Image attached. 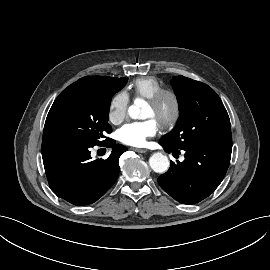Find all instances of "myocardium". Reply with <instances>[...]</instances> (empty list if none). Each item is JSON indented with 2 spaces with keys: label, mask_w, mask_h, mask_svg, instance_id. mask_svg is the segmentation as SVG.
I'll return each mask as SVG.
<instances>
[{
  "label": "myocardium",
  "mask_w": 270,
  "mask_h": 270,
  "mask_svg": "<svg viewBox=\"0 0 270 270\" xmlns=\"http://www.w3.org/2000/svg\"><path fill=\"white\" fill-rule=\"evenodd\" d=\"M166 98H169L172 102V112L168 117L159 119V123L162 128L169 129L178 123L181 116L182 105L178 93L173 89L162 88L148 98V103L157 109Z\"/></svg>",
  "instance_id": "obj_1"
}]
</instances>
